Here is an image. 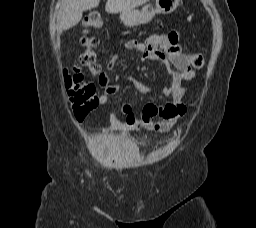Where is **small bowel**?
Here are the masks:
<instances>
[{"instance_id":"small-bowel-1","label":"small bowel","mask_w":256,"mask_h":228,"mask_svg":"<svg viewBox=\"0 0 256 228\" xmlns=\"http://www.w3.org/2000/svg\"><path fill=\"white\" fill-rule=\"evenodd\" d=\"M125 48L141 53L144 61L158 62L167 70L171 80L169 85L162 90V94L170 97L171 102L162 106L149 103L145 105L139 117L134 114L130 104H123L121 110L125 119L120 120L115 114L110 113V129L124 133L134 130L156 132L170 130L176 121L186 113L187 109L183 103L184 83L194 77V69L191 66L189 55L184 54L178 44V34L176 32L167 34L153 32L144 41L136 39L126 41ZM118 59L119 55H112L107 62V68L113 69ZM129 82L142 94L151 92L148 86L135 78H130ZM99 83L104 89L100 96V103L104 105L118 91V86L110 84L106 72L100 73ZM156 117L160 119L156 120Z\"/></svg>"}]
</instances>
